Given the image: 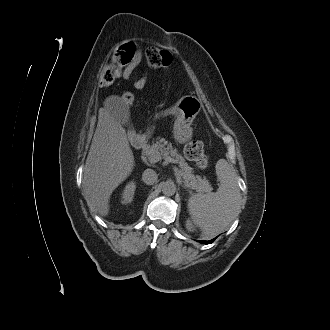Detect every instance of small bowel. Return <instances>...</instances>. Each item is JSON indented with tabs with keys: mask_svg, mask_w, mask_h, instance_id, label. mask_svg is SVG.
<instances>
[{
	"mask_svg": "<svg viewBox=\"0 0 330 330\" xmlns=\"http://www.w3.org/2000/svg\"><path fill=\"white\" fill-rule=\"evenodd\" d=\"M142 60V54L141 52L136 49L135 51V55L134 58L132 60V62L126 66L125 68H123L119 73H118V77L123 78V79H129L131 78V76L133 75L135 69L139 66V64L141 63ZM147 80H148V75L147 73H143L141 74L134 82V88L137 91H141L144 89V87L147 84Z\"/></svg>",
	"mask_w": 330,
	"mask_h": 330,
	"instance_id": "small-bowel-1",
	"label": "small bowel"
}]
</instances>
